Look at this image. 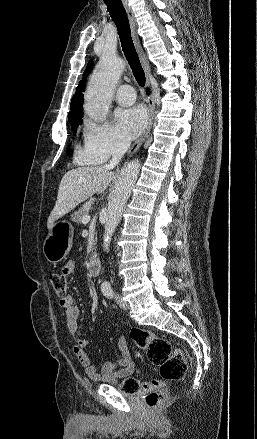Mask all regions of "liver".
<instances>
[{
    "mask_svg": "<svg viewBox=\"0 0 257 439\" xmlns=\"http://www.w3.org/2000/svg\"><path fill=\"white\" fill-rule=\"evenodd\" d=\"M113 179L105 166L78 167L65 173L59 185L56 204L48 218L47 227L72 211L94 194L103 193Z\"/></svg>",
    "mask_w": 257,
    "mask_h": 439,
    "instance_id": "6515ba94",
    "label": "liver"
}]
</instances>
